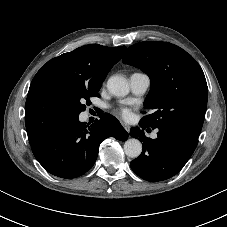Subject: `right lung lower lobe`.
<instances>
[{
	"label": "right lung lower lobe",
	"mask_w": 227,
	"mask_h": 227,
	"mask_svg": "<svg viewBox=\"0 0 227 227\" xmlns=\"http://www.w3.org/2000/svg\"><path fill=\"white\" fill-rule=\"evenodd\" d=\"M108 137L128 138V133L115 117L104 113L91 125L76 117L50 129L31 144V149L46 171L70 179L81 176L94 165L98 148Z\"/></svg>",
	"instance_id": "98d812e1"
}]
</instances>
